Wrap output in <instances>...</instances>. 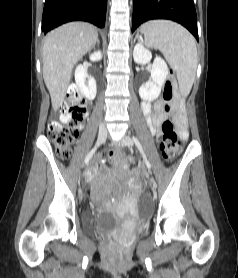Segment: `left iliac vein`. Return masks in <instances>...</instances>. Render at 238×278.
<instances>
[{
    "label": "left iliac vein",
    "mask_w": 238,
    "mask_h": 278,
    "mask_svg": "<svg viewBox=\"0 0 238 278\" xmlns=\"http://www.w3.org/2000/svg\"><path fill=\"white\" fill-rule=\"evenodd\" d=\"M121 142L123 145L127 146V147H132L133 146V140L131 139V137L127 134L123 135L122 139H121ZM153 185H152V188L153 190H156V182L153 181Z\"/></svg>",
    "instance_id": "4c4485c4"
}]
</instances>
